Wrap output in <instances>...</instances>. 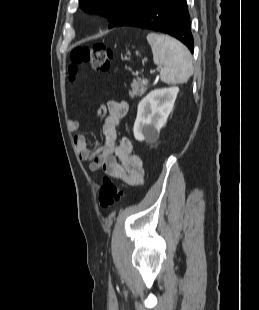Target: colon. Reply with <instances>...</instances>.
Instances as JSON below:
<instances>
[{
	"mask_svg": "<svg viewBox=\"0 0 259 310\" xmlns=\"http://www.w3.org/2000/svg\"><path fill=\"white\" fill-rule=\"evenodd\" d=\"M113 51L108 45L97 43L91 46L78 47L71 54L72 66L70 72L72 75L77 73V66L84 64L90 68L105 72L110 68V61ZM123 195L122 189L110 178L105 177L99 190V203L102 208H108L117 202Z\"/></svg>",
	"mask_w": 259,
	"mask_h": 310,
	"instance_id": "colon-1",
	"label": "colon"
}]
</instances>
